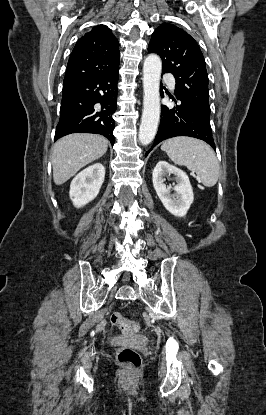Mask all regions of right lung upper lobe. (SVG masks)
<instances>
[{
    "label": "right lung upper lobe",
    "mask_w": 266,
    "mask_h": 415,
    "mask_svg": "<svg viewBox=\"0 0 266 415\" xmlns=\"http://www.w3.org/2000/svg\"><path fill=\"white\" fill-rule=\"evenodd\" d=\"M119 65V42L105 25L81 37L68 61L63 86L113 72Z\"/></svg>",
    "instance_id": "cb5924a9"
}]
</instances>
